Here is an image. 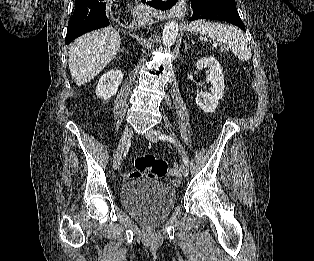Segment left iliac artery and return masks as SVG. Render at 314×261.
<instances>
[{"label": "left iliac artery", "mask_w": 314, "mask_h": 261, "mask_svg": "<svg viewBox=\"0 0 314 261\" xmlns=\"http://www.w3.org/2000/svg\"><path fill=\"white\" fill-rule=\"evenodd\" d=\"M159 138H160L161 140H163V141H169V142H171V143H173L174 145L177 146L176 140L173 139L172 137L166 135V134H161V135H159ZM182 158H183L184 164L188 166V163H189L188 159H187L185 156H183V155H182Z\"/></svg>", "instance_id": "obj_1"}]
</instances>
